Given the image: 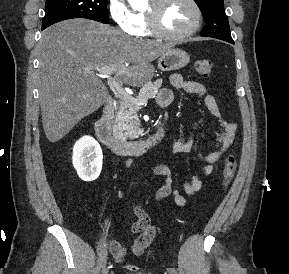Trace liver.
Instances as JSON below:
<instances>
[{"label":"liver","instance_id":"6515ba94","mask_svg":"<svg viewBox=\"0 0 289 274\" xmlns=\"http://www.w3.org/2000/svg\"><path fill=\"white\" fill-rule=\"evenodd\" d=\"M171 46L131 38L95 21L71 19L46 28L37 46L39 100L47 139L61 140L105 102L108 91L94 70L114 66L126 85L142 86L154 74L151 62ZM131 64V65H129Z\"/></svg>","mask_w":289,"mask_h":274}]
</instances>
